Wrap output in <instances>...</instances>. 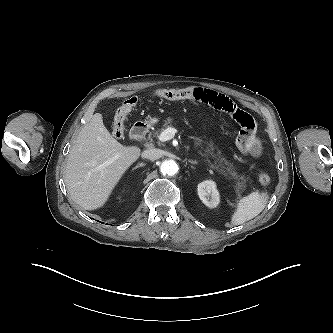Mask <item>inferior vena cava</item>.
Returning <instances> with one entry per match:
<instances>
[{
	"label": "inferior vena cava",
	"instance_id": "1",
	"mask_svg": "<svg viewBox=\"0 0 333 333\" xmlns=\"http://www.w3.org/2000/svg\"><path fill=\"white\" fill-rule=\"evenodd\" d=\"M142 158L150 161H155L162 156V152L159 149H148L142 152Z\"/></svg>",
	"mask_w": 333,
	"mask_h": 333
}]
</instances>
